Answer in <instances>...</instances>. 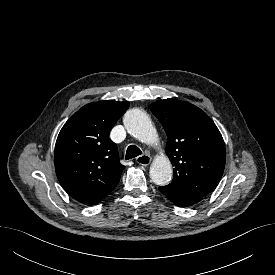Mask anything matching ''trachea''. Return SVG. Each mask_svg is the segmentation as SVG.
<instances>
[{"label":"trachea","instance_id":"trachea-1","mask_svg":"<svg viewBox=\"0 0 275 275\" xmlns=\"http://www.w3.org/2000/svg\"><path fill=\"white\" fill-rule=\"evenodd\" d=\"M142 154V151L135 145H130L126 150L125 159L129 160Z\"/></svg>","mask_w":275,"mask_h":275}]
</instances>
